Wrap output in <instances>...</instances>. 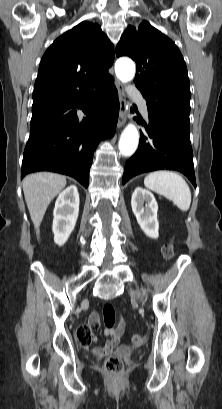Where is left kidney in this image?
<instances>
[{
  "instance_id": "left-kidney-1",
  "label": "left kidney",
  "mask_w": 222,
  "mask_h": 409,
  "mask_svg": "<svg viewBox=\"0 0 222 409\" xmlns=\"http://www.w3.org/2000/svg\"><path fill=\"white\" fill-rule=\"evenodd\" d=\"M131 207L140 228L146 236L153 239L158 238V205L154 195L149 190L137 187L132 194Z\"/></svg>"
}]
</instances>
